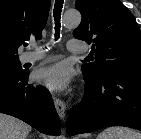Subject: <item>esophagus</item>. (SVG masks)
<instances>
[{
	"label": "esophagus",
	"mask_w": 141,
	"mask_h": 139,
	"mask_svg": "<svg viewBox=\"0 0 141 139\" xmlns=\"http://www.w3.org/2000/svg\"><path fill=\"white\" fill-rule=\"evenodd\" d=\"M54 105H55V108H56V111L59 115V117L61 119H64L65 118V115H66V104L63 100L55 97L54 98Z\"/></svg>",
	"instance_id": "34e87169"
}]
</instances>
